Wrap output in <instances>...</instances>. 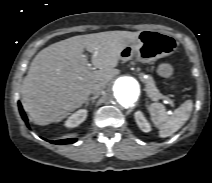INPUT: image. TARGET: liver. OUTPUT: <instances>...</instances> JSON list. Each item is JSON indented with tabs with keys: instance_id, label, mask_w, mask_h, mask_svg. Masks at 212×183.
I'll list each match as a JSON object with an SVG mask.
<instances>
[{
	"instance_id": "obj_1",
	"label": "liver",
	"mask_w": 212,
	"mask_h": 183,
	"mask_svg": "<svg viewBox=\"0 0 212 183\" xmlns=\"http://www.w3.org/2000/svg\"><path fill=\"white\" fill-rule=\"evenodd\" d=\"M140 31H107L74 36L42 49L32 60L21 95L37 125L60 122L80 108L95 84L110 82L119 70L122 50ZM92 54L91 71L83 51Z\"/></svg>"
}]
</instances>
